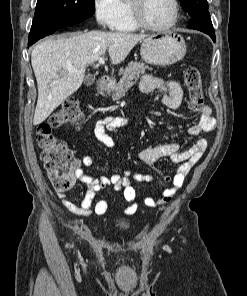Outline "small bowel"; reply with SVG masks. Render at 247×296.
<instances>
[{"label": "small bowel", "instance_id": "small-bowel-1", "mask_svg": "<svg viewBox=\"0 0 247 296\" xmlns=\"http://www.w3.org/2000/svg\"><path fill=\"white\" fill-rule=\"evenodd\" d=\"M139 90L142 93H150L154 90L159 91L162 94L163 104L171 109L178 108L183 100V91L180 85L173 80H164L147 75L142 78ZM129 124L130 120L126 117L107 116L95 124V138L104 146L113 148L116 145L113 134L118 128ZM215 125L216 122L212 116V109L207 105H203L200 109L198 121L188 128V132L191 135L199 136L214 130ZM207 147L208 141L205 138H199L192 148L184 152L179 151V145L176 143H165L140 150L138 158L148 166H154L156 161L161 157H169L173 162L180 164L172 177L164 178V181L171 184V187L166 188L159 198L144 197V205L154 208L168 203L175 195L177 189L183 185L186 175L200 160ZM93 164L94 158L92 156L85 155L82 157V166L90 167ZM76 177L87 187V191L80 205L68 200L63 191H59L57 195L65 209L77 217L106 215L108 211L107 202L105 200H99L94 204V199L99 192L109 185H112L116 191L122 192L126 201L124 213L128 216L133 215L138 210L137 193L133 182L151 183L155 181V178L151 175L134 174L129 170H125L121 174L94 177L87 174L82 167L77 168Z\"/></svg>", "mask_w": 247, "mask_h": 296}]
</instances>
